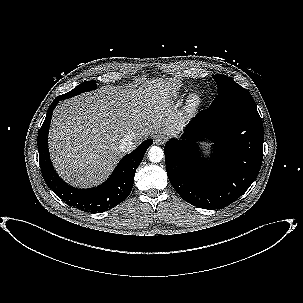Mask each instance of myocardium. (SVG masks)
Segmentation results:
<instances>
[{
  "label": "myocardium",
  "instance_id": "obj_1",
  "mask_svg": "<svg viewBox=\"0 0 303 303\" xmlns=\"http://www.w3.org/2000/svg\"><path fill=\"white\" fill-rule=\"evenodd\" d=\"M201 103V97L199 94L194 93L189 97L188 104L191 108H196Z\"/></svg>",
  "mask_w": 303,
  "mask_h": 303
}]
</instances>
